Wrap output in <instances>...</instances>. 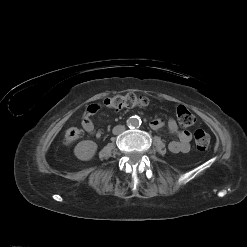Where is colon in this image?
<instances>
[{
    "instance_id": "obj_1",
    "label": "colon",
    "mask_w": 247,
    "mask_h": 247,
    "mask_svg": "<svg viewBox=\"0 0 247 247\" xmlns=\"http://www.w3.org/2000/svg\"><path fill=\"white\" fill-rule=\"evenodd\" d=\"M150 104L146 97L138 96L134 93H127L125 95L117 94L106 98L102 102V106L110 109H123V108H145ZM176 116L178 122L188 127L195 123V116L183 105H179L176 108ZM81 130L76 127L68 128L64 133V143L66 145H72L81 137ZM194 139L197 148L201 151H205L210 145V136L202 129H197L194 132Z\"/></svg>"
}]
</instances>
